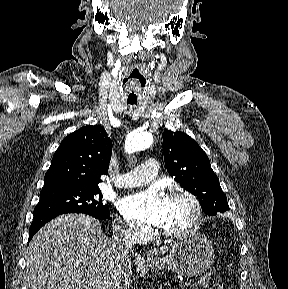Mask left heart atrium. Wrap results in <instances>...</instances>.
Segmentation results:
<instances>
[{
  "instance_id": "1",
  "label": "left heart atrium",
  "mask_w": 288,
  "mask_h": 289,
  "mask_svg": "<svg viewBox=\"0 0 288 289\" xmlns=\"http://www.w3.org/2000/svg\"><path fill=\"white\" fill-rule=\"evenodd\" d=\"M118 207L126 218L159 226L164 220L165 198L156 188H150L123 198Z\"/></svg>"
}]
</instances>
